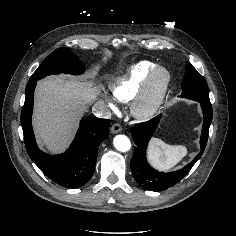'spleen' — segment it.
Masks as SVG:
<instances>
[{
  "mask_svg": "<svg viewBox=\"0 0 236 236\" xmlns=\"http://www.w3.org/2000/svg\"><path fill=\"white\" fill-rule=\"evenodd\" d=\"M187 154L183 145H169L158 138H152L148 147L150 162L161 170H168L175 166Z\"/></svg>",
  "mask_w": 236,
  "mask_h": 236,
  "instance_id": "obj_1",
  "label": "spleen"
}]
</instances>
